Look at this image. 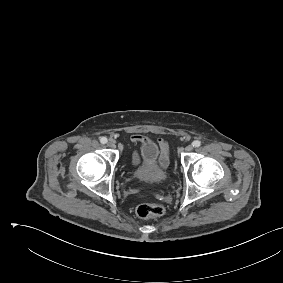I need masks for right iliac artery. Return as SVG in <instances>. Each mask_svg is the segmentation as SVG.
<instances>
[{"label":"right iliac artery","instance_id":"right-iliac-artery-1","mask_svg":"<svg viewBox=\"0 0 283 283\" xmlns=\"http://www.w3.org/2000/svg\"><path fill=\"white\" fill-rule=\"evenodd\" d=\"M107 138L106 137H101L100 138V142L102 143V144H106L107 143Z\"/></svg>","mask_w":283,"mask_h":283}]
</instances>
